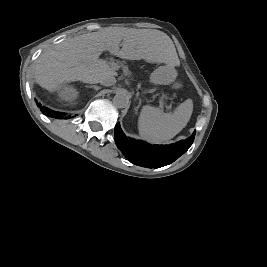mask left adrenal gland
I'll use <instances>...</instances> for the list:
<instances>
[{
    "mask_svg": "<svg viewBox=\"0 0 267 267\" xmlns=\"http://www.w3.org/2000/svg\"><path fill=\"white\" fill-rule=\"evenodd\" d=\"M136 97L138 98V93L136 94ZM141 105V99H139V105L137 107H135V111H138L139 106Z\"/></svg>",
    "mask_w": 267,
    "mask_h": 267,
    "instance_id": "1",
    "label": "left adrenal gland"
}]
</instances>
